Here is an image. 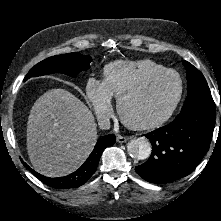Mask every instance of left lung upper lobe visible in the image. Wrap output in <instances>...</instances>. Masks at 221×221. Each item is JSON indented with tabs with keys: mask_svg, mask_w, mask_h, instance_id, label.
<instances>
[{
	"mask_svg": "<svg viewBox=\"0 0 221 221\" xmlns=\"http://www.w3.org/2000/svg\"><path fill=\"white\" fill-rule=\"evenodd\" d=\"M187 70V97L181 112L196 103L214 104L210 89L203 74L187 61H183Z\"/></svg>",
	"mask_w": 221,
	"mask_h": 221,
	"instance_id": "left-lung-upper-lobe-1",
	"label": "left lung upper lobe"
}]
</instances>
